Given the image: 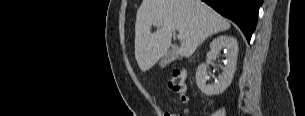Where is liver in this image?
I'll return each mask as SVG.
<instances>
[{
  "label": "liver",
  "instance_id": "1",
  "mask_svg": "<svg viewBox=\"0 0 305 116\" xmlns=\"http://www.w3.org/2000/svg\"><path fill=\"white\" fill-rule=\"evenodd\" d=\"M152 25H158L151 32ZM230 28V23L201 0H143L135 22V58L141 71L149 70L163 57L172 33L182 35L180 56H191L209 36Z\"/></svg>",
  "mask_w": 305,
  "mask_h": 116
}]
</instances>
